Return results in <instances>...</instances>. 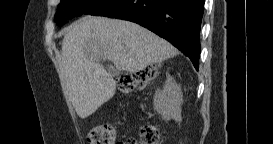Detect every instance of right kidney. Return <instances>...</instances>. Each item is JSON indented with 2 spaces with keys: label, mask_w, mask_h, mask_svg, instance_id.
Listing matches in <instances>:
<instances>
[{
  "label": "right kidney",
  "mask_w": 273,
  "mask_h": 144,
  "mask_svg": "<svg viewBox=\"0 0 273 144\" xmlns=\"http://www.w3.org/2000/svg\"><path fill=\"white\" fill-rule=\"evenodd\" d=\"M180 85L175 81L168 82L164 89L157 91L154 96V109L165 121L170 119L177 123L182 121L181 105L183 103Z\"/></svg>",
  "instance_id": "1"
}]
</instances>
